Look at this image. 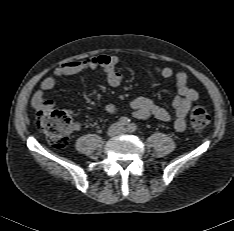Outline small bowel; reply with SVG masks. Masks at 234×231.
<instances>
[{
  "mask_svg": "<svg viewBox=\"0 0 234 231\" xmlns=\"http://www.w3.org/2000/svg\"><path fill=\"white\" fill-rule=\"evenodd\" d=\"M119 58L115 55L103 54L89 57L79 61L67 62L59 66L54 72L43 79L40 88L35 91L32 97V106L36 110H50L54 107V101L46 96V93L54 88L58 79L71 76L87 70L102 69L105 81L112 87L119 86L124 75L117 70ZM155 72L163 78H171L174 75L170 67H156ZM175 86L177 95L172 101V107L175 111L173 126L176 131H183L186 128V117L191 106L198 100V92L191 88L188 83L187 74L179 72L175 76ZM131 114L139 120H146L154 117L163 122L171 121V115L163 107L158 106L152 100L146 97H136L130 103ZM119 109L114 104H107L105 112L109 115L118 113ZM74 130L79 129V125L73 126Z\"/></svg>",
  "mask_w": 234,
  "mask_h": 231,
  "instance_id": "c3829d8e",
  "label": "small bowel"
}]
</instances>
